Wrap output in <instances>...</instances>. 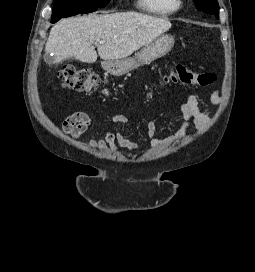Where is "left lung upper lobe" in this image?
<instances>
[{
  "mask_svg": "<svg viewBox=\"0 0 255 272\" xmlns=\"http://www.w3.org/2000/svg\"><path fill=\"white\" fill-rule=\"evenodd\" d=\"M198 10L219 17V5L217 0H194Z\"/></svg>",
  "mask_w": 255,
  "mask_h": 272,
  "instance_id": "1",
  "label": "left lung upper lobe"
}]
</instances>
